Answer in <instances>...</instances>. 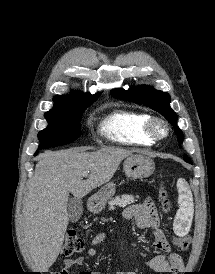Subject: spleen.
Masks as SVG:
<instances>
[{"label":"spleen","instance_id":"3e777b00","mask_svg":"<svg viewBox=\"0 0 215 274\" xmlns=\"http://www.w3.org/2000/svg\"><path fill=\"white\" fill-rule=\"evenodd\" d=\"M177 189L179 210L176 213L173 229L177 235L184 236L187 233V224L193 217V198L189 185L184 179H178Z\"/></svg>","mask_w":215,"mask_h":274}]
</instances>
